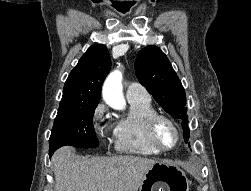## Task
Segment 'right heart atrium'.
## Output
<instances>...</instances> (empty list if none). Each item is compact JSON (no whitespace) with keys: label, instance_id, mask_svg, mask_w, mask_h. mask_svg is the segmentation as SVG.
<instances>
[{"label":"right heart atrium","instance_id":"1","mask_svg":"<svg viewBox=\"0 0 251 191\" xmlns=\"http://www.w3.org/2000/svg\"><path fill=\"white\" fill-rule=\"evenodd\" d=\"M107 118L108 109L103 102H99L91 114V128L96 136L102 141H106L108 138L109 127Z\"/></svg>","mask_w":251,"mask_h":191}]
</instances>
